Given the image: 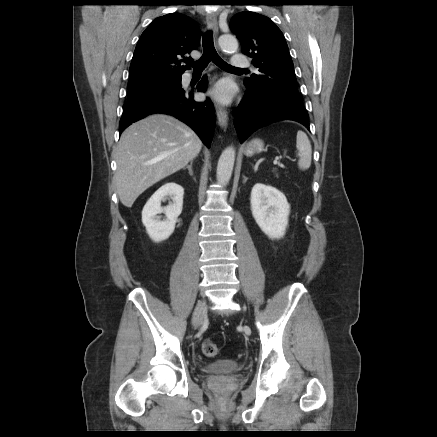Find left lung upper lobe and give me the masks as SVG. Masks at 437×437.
<instances>
[{
  "instance_id": "5c2ea615",
  "label": "left lung upper lobe",
  "mask_w": 437,
  "mask_h": 437,
  "mask_svg": "<svg viewBox=\"0 0 437 437\" xmlns=\"http://www.w3.org/2000/svg\"><path fill=\"white\" fill-rule=\"evenodd\" d=\"M233 33L240 40L242 52L252 57L259 74L244 80L247 90L301 101L286 40L266 16L244 11L230 22Z\"/></svg>"
}]
</instances>
